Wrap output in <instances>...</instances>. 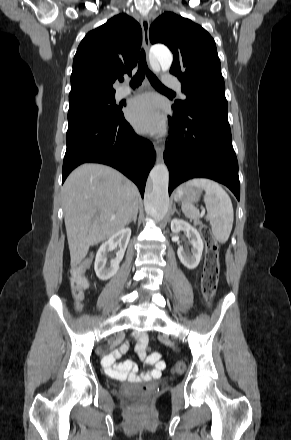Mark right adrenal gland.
I'll return each instance as SVG.
<instances>
[{
    "instance_id": "2a0ac1e0",
    "label": "right adrenal gland",
    "mask_w": 291,
    "mask_h": 440,
    "mask_svg": "<svg viewBox=\"0 0 291 440\" xmlns=\"http://www.w3.org/2000/svg\"><path fill=\"white\" fill-rule=\"evenodd\" d=\"M136 220H137V214L134 216V218H133L129 223H131L132 221H133L134 223H136Z\"/></svg>"
}]
</instances>
